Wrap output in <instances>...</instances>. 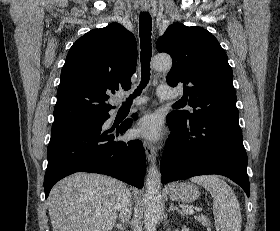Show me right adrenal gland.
<instances>
[{
	"instance_id": "2a0ac1e0",
	"label": "right adrenal gland",
	"mask_w": 280,
	"mask_h": 231,
	"mask_svg": "<svg viewBox=\"0 0 280 231\" xmlns=\"http://www.w3.org/2000/svg\"><path fill=\"white\" fill-rule=\"evenodd\" d=\"M113 227H117L118 231H124L126 229L125 223H114Z\"/></svg>"
}]
</instances>
